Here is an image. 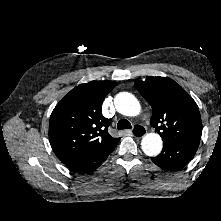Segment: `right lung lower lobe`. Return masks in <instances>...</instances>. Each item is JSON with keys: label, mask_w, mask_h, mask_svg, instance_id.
Masks as SVG:
<instances>
[{"label": "right lung lower lobe", "mask_w": 221, "mask_h": 221, "mask_svg": "<svg viewBox=\"0 0 221 221\" xmlns=\"http://www.w3.org/2000/svg\"><path fill=\"white\" fill-rule=\"evenodd\" d=\"M114 149L101 155L85 156V157L73 160L69 163H66L65 165L75 172L90 173L94 171L95 169H97L106 160V158L111 154V152Z\"/></svg>", "instance_id": "1"}]
</instances>
